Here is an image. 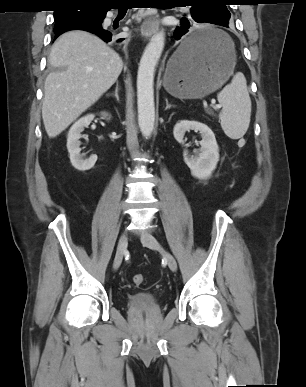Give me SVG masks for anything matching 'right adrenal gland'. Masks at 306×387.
Returning <instances> with one entry per match:
<instances>
[{"instance_id": "1", "label": "right adrenal gland", "mask_w": 306, "mask_h": 387, "mask_svg": "<svg viewBox=\"0 0 306 387\" xmlns=\"http://www.w3.org/2000/svg\"><path fill=\"white\" fill-rule=\"evenodd\" d=\"M109 95L115 97L118 102L120 101V98H119V83H118V81L116 82L115 92L114 93H110Z\"/></svg>"}]
</instances>
